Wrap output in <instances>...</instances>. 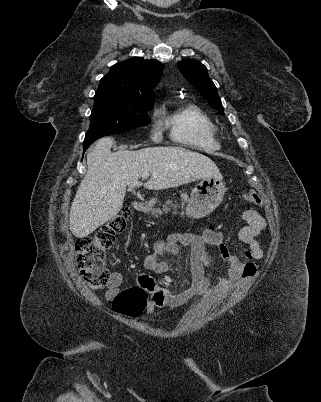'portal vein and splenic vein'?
<instances>
[{
    "mask_svg": "<svg viewBox=\"0 0 321 402\" xmlns=\"http://www.w3.org/2000/svg\"><path fill=\"white\" fill-rule=\"evenodd\" d=\"M141 177H142L143 179H146V178L149 177V173H148V172H143V173L141 174Z\"/></svg>",
    "mask_w": 321,
    "mask_h": 402,
    "instance_id": "portal-vein-and-splenic-vein-1",
    "label": "portal vein and splenic vein"
}]
</instances>
